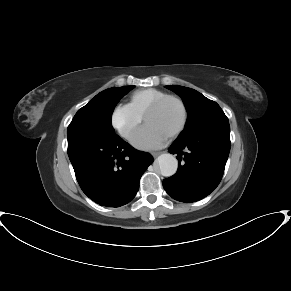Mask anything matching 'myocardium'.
<instances>
[{"instance_id": "1", "label": "myocardium", "mask_w": 291, "mask_h": 291, "mask_svg": "<svg viewBox=\"0 0 291 291\" xmlns=\"http://www.w3.org/2000/svg\"><path fill=\"white\" fill-rule=\"evenodd\" d=\"M168 101L177 102L179 104L180 108H181V111H182V119H181L180 124L168 136L170 138H173V137H176L179 134H181L185 130V128H186V126L188 124V118H189L188 109H187V106H186L184 100L181 99L180 97L175 96V95H166V96L161 97L158 100L154 101L145 110V112L143 114V121L145 122L149 115H151L152 113H154L157 110H159Z\"/></svg>"}]
</instances>
